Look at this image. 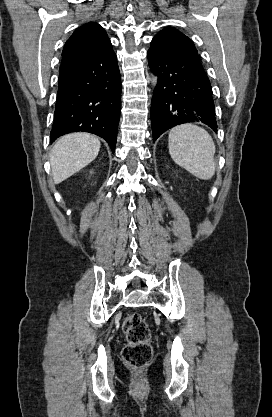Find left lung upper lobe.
<instances>
[{
	"label": "left lung upper lobe",
	"instance_id": "obj_1",
	"mask_svg": "<svg viewBox=\"0 0 272 417\" xmlns=\"http://www.w3.org/2000/svg\"><path fill=\"white\" fill-rule=\"evenodd\" d=\"M151 48L161 52L176 53L200 59L192 40L171 27H166L152 39Z\"/></svg>",
	"mask_w": 272,
	"mask_h": 417
}]
</instances>
